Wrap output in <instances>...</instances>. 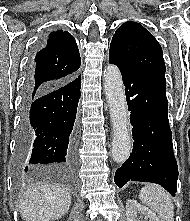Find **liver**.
<instances>
[{"instance_id":"obj_1","label":"liver","mask_w":190,"mask_h":221,"mask_svg":"<svg viewBox=\"0 0 190 221\" xmlns=\"http://www.w3.org/2000/svg\"><path fill=\"white\" fill-rule=\"evenodd\" d=\"M71 201L62 186H29L20 197L19 212L25 221L57 220L68 212Z\"/></svg>"}]
</instances>
